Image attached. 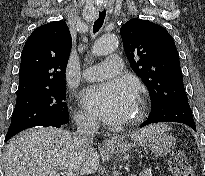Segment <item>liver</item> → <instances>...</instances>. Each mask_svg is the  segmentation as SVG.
<instances>
[{
	"instance_id": "liver-1",
	"label": "liver",
	"mask_w": 205,
	"mask_h": 176,
	"mask_svg": "<svg viewBox=\"0 0 205 176\" xmlns=\"http://www.w3.org/2000/svg\"><path fill=\"white\" fill-rule=\"evenodd\" d=\"M152 129L144 128L130 137L141 141ZM4 162L5 176H60L56 170L83 176L96 172L100 159L93 148L78 149L67 131L47 127L26 130L12 138L5 147Z\"/></svg>"
}]
</instances>
